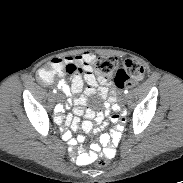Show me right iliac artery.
<instances>
[{"mask_svg": "<svg viewBox=\"0 0 183 183\" xmlns=\"http://www.w3.org/2000/svg\"><path fill=\"white\" fill-rule=\"evenodd\" d=\"M53 93H57V90H53ZM58 111V106H56V108H55V112H57Z\"/></svg>", "mask_w": 183, "mask_h": 183, "instance_id": "1", "label": "right iliac artery"}]
</instances>
